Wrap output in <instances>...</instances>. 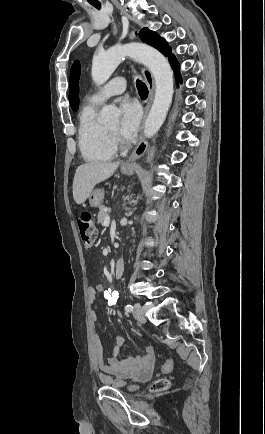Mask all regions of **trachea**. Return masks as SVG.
<instances>
[{"mask_svg": "<svg viewBox=\"0 0 265 434\" xmlns=\"http://www.w3.org/2000/svg\"><path fill=\"white\" fill-rule=\"evenodd\" d=\"M92 5L94 7H96L97 9H100V7H101V5L99 3H93ZM136 85H137V90L139 92V95L145 96L148 94V88L142 81H139V80L136 81Z\"/></svg>", "mask_w": 265, "mask_h": 434, "instance_id": "obj_1", "label": "trachea"}]
</instances>
